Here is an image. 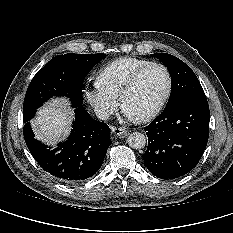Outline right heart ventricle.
Wrapping results in <instances>:
<instances>
[{"instance_id": "1", "label": "right heart ventricle", "mask_w": 233, "mask_h": 233, "mask_svg": "<svg viewBox=\"0 0 233 233\" xmlns=\"http://www.w3.org/2000/svg\"><path fill=\"white\" fill-rule=\"evenodd\" d=\"M149 60L135 57H121L104 65L98 73L99 82L114 96L119 97L131 75Z\"/></svg>"}]
</instances>
